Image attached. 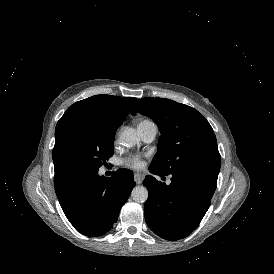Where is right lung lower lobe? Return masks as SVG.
Segmentation results:
<instances>
[{
    "mask_svg": "<svg viewBox=\"0 0 274 274\" xmlns=\"http://www.w3.org/2000/svg\"><path fill=\"white\" fill-rule=\"evenodd\" d=\"M60 205L70 223L86 236H101L116 223L135 182L133 173L119 169L110 178L81 171L54 182Z\"/></svg>",
    "mask_w": 274,
    "mask_h": 274,
    "instance_id": "1",
    "label": "right lung lower lobe"
}]
</instances>
